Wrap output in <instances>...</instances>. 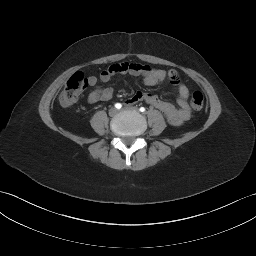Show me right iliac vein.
Masks as SVG:
<instances>
[{"label": "right iliac vein", "instance_id": "63e3f726", "mask_svg": "<svg viewBox=\"0 0 256 256\" xmlns=\"http://www.w3.org/2000/svg\"><path fill=\"white\" fill-rule=\"evenodd\" d=\"M117 114H118V110H117L116 108H111V109L109 110V115H110V116L114 117V116H116Z\"/></svg>", "mask_w": 256, "mask_h": 256}]
</instances>
